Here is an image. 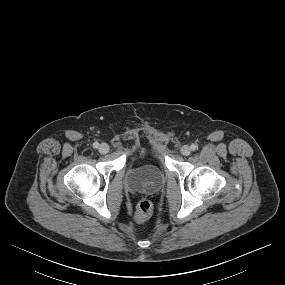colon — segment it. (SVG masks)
Here are the masks:
<instances>
[{
	"label": "colon",
	"mask_w": 285,
	"mask_h": 285,
	"mask_svg": "<svg viewBox=\"0 0 285 285\" xmlns=\"http://www.w3.org/2000/svg\"><path fill=\"white\" fill-rule=\"evenodd\" d=\"M152 204L147 199H141L136 208V217L139 221L148 220L152 215Z\"/></svg>",
	"instance_id": "obj_1"
}]
</instances>
